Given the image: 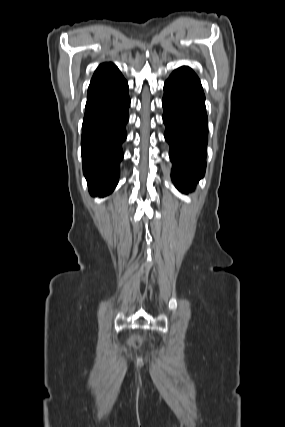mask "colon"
I'll return each mask as SVG.
<instances>
[{
	"label": "colon",
	"instance_id": "5ec220e1",
	"mask_svg": "<svg viewBox=\"0 0 285 427\" xmlns=\"http://www.w3.org/2000/svg\"><path fill=\"white\" fill-rule=\"evenodd\" d=\"M131 343H132L133 345L137 346V345H139L140 340H139V338H138V337L134 336V337H132V338H131Z\"/></svg>",
	"mask_w": 285,
	"mask_h": 427
}]
</instances>
